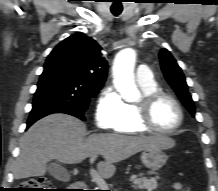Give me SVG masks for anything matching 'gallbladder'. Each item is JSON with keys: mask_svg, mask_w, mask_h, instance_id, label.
I'll list each match as a JSON object with an SVG mask.
<instances>
[{"mask_svg": "<svg viewBox=\"0 0 218 191\" xmlns=\"http://www.w3.org/2000/svg\"><path fill=\"white\" fill-rule=\"evenodd\" d=\"M47 169L52 176L59 180H63L65 176H68L66 170L57 163L49 164Z\"/></svg>", "mask_w": 218, "mask_h": 191, "instance_id": "bac80fb5", "label": "gallbladder"}]
</instances>
